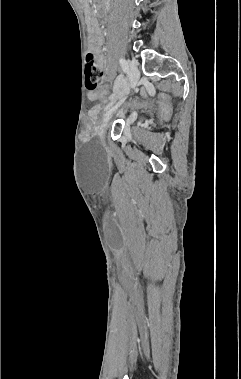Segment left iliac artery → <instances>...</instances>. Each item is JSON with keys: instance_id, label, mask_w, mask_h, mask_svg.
Masks as SVG:
<instances>
[{"instance_id": "44dca946", "label": "left iliac artery", "mask_w": 241, "mask_h": 379, "mask_svg": "<svg viewBox=\"0 0 241 379\" xmlns=\"http://www.w3.org/2000/svg\"><path fill=\"white\" fill-rule=\"evenodd\" d=\"M119 63L121 65V68L124 72H127L128 71V64H127V61L124 59V58H120L119 59ZM112 98H113V95H112ZM113 104V101L105 108H109L111 105Z\"/></svg>"}]
</instances>
